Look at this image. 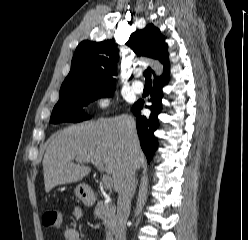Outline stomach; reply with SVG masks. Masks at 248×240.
Listing matches in <instances>:
<instances>
[{
	"mask_svg": "<svg viewBox=\"0 0 248 240\" xmlns=\"http://www.w3.org/2000/svg\"><path fill=\"white\" fill-rule=\"evenodd\" d=\"M76 196L84 203L92 201V194L90 188L85 184H80L75 190Z\"/></svg>",
	"mask_w": 248,
	"mask_h": 240,
	"instance_id": "stomach-1",
	"label": "stomach"
}]
</instances>
